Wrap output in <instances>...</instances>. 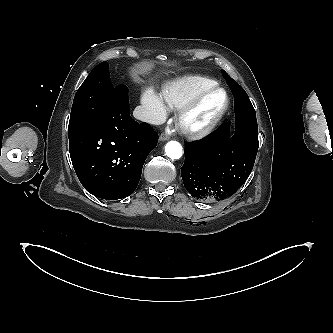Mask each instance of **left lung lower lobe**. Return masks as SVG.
Listing matches in <instances>:
<instances>
[{
    "label": "left lung lower lobe",
    "instance_id": "left-lung-lower-lobe-1",
    "mask_svg": "<svg viewBox=\"0 0 333 333\" xmlns=\"http://www.w3.org/2000/svg\"><path fill=\"white\" fill-rule=\"evenodd\" d=\"M257 150L248 130L237 126L232 136L225 123L205 138L187 142L181 168L185 188L204 202L232 196L251 173Z\"/></svg>",
    "mask_w": 333,
    "mask_h": 333
}]
</instances>
